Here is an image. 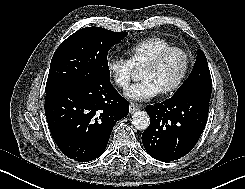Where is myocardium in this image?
Returning <instances> with one entry per match:
<instances>
[{
	"label": "myocardium",
	"instance_id": "myocardium-1",
	"mask_svg": "<svg viewBox=\"0 0 245 189\" xmlns=\"http://www.w3.org/2000/svg\"><path fill=\"white\" fill-rule=\"evenodd\" d=\"M172 53H179L183 56L185 60V67L179 79L174 84L161 91V93L165 95L172 94L178 91L188 78L192 65L190 54L181 47L170 46L160 51L155 57H153L142 67V69H156Z\"/></svg>",
	"mask_w": 245,
	"mask_h": 189
}]
</instances>
